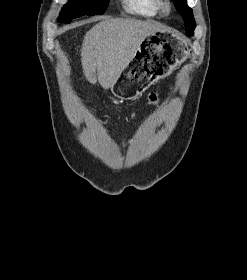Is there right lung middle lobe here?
Returning a JSON list of instances; mask_svg holds the SVG:
<instances>
[{
    "mask_svg": "<svg viewBox=\"0 0 247 280\" xmlns=\"http://www.w3.org/2000/svg\"><path fill=\"white\" fill-rule=\"evenodd\" d=\"M109 0H70L63 8L58 20L70 23L83 15L103 14Z\"/></svg>",
    "mask_w": 247,
    "mask_h": 280,
    "instance_id": "1",
    "label": "right lung middle lobe"
}]
</instances>
